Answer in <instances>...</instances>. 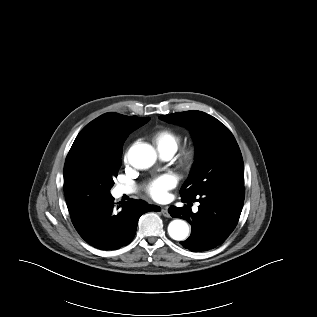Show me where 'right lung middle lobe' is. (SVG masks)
Wrapping results in <instances>:
<instances>
[{"label": "right lung middle lobe", "mask_w": 317, "mask_h": 317, "mask_svg": "<svg viewBox=\"0 0 317 317\" xmlns=\"http://www.w3.org/2000/svg\"><path fill=\"white\" fill-rule=\"evenodd\" d=\"M141 118L135 128L149 121ZM122 151L100 142H85L70 149L64 166L65 197L96 202L111 196L113 179L121 166Z\"/></svg>", "instance_id": "right-lung-middle-lobe-1"}]
</instances>
